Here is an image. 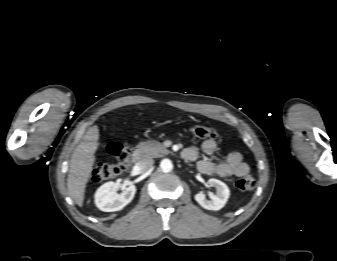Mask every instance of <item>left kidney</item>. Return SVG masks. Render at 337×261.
I'll use <instances>...</instances> for the list:
<instances>
[{"mask_svg":"<svg viewBox=\"0 0 337 261\" xmlns=\"http://www.w3.org/2000/svg\"><path fill=\"white\" fill-rule=\"evenodd\" d=\"M208 184L216 189V194L207 199L203 193H198L195 195V200L207 210H220L226 204L230 190L225 183L214 178L209 179Z\"/></svg>","mask_w":337,"mask_h":261,"instance_id":"obj_1","label":"left kidney"}]
</instances>
